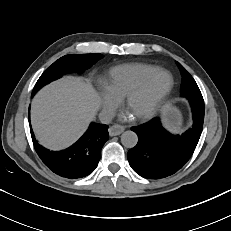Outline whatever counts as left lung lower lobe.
<instances>
[{
  "label": "left lung lower lobe",
  "mask_w": 231,
  "mask_h": 231,
  "mask_svg": "<svg viewBox=\"0 0 231 231\" xmlns=\"http://www.w3.org/2000/svg\"><path fill=\"white\" fill-rule=\"evenodd\" d=\"M193 127L182 135L166 131L159 120L132 127L138 135L137 145L128 151L131 168L140 176L160 179L181 169L192 156L203 129L204 111L192 109Z\"/></svg>",
  "instance_id": "obj_1"
}]
</instances>
